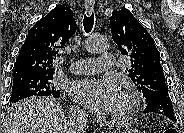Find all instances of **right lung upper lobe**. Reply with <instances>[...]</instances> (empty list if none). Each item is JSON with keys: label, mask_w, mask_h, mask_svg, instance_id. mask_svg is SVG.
Listing matches in <instances>:
<instances>
[{"label": "right lung upper lobe", "mask_w": 184, "mask_h": 133, "mask_svg": "<svg viewBox=\"0 0 184 133\" xmlns=\"http://www.w3.org/2000/svg\"><path fill=\"white\" fill-rule=\"evenodd\" d=\"M73 11L58 6L39 20L29 31L16 59L13 78L23 75L53 76V61L59 50L75 34Z\"/></svg>", "instance_id": "obj_1"}]
</instances>
